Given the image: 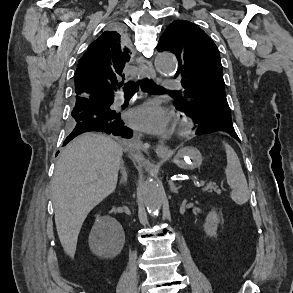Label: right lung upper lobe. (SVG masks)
I'll return each mask as SVG.
<instances>
[{
  "instance_id": "right-lung-upper-lobe-1",
  "label": "right lung upper lobe",
  "mask_w": 293,
  "mask_h": 293,
  "mask_svg": "<svg viewBox=\"0 0 293 293\" xmlns=\"http://www.w3.org/2000/svg\"><path fill=\"white\" fill-rule=\"evenodd\" d=\"M130 54L121 29L104 31L90 44L78 63L75 73L76 97H114V91L122 86V71Z\"/></svg>"
}]
</instances>
